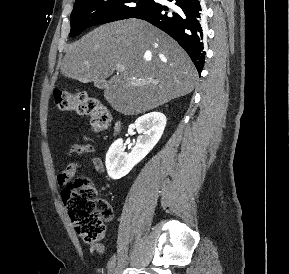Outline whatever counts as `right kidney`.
I'll return each mask as SVG.
<instances>
[{"instance_id": "right-kidney-1", "label": "right kidney", "mask_w": 289, "mask_h": 274, "mask_svg": "<svg viewBox=\"0 0 289 274\" xmlns=\"http://www.w3.org/2000/svg\"><path fill=\"white\" fill-rule=\"evenodd\" d=\"M166 122V116L161 112H150L140 116L134 123L140 135L131 153L125 152L121 138L110 146L105 161L109 177L114 180L120 179L143 160L160 140Z\"/></svg>"}]
</instances>
